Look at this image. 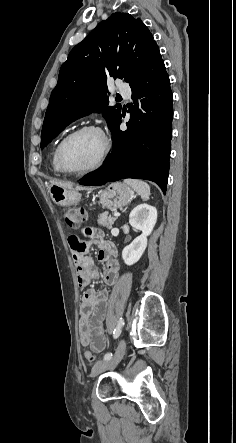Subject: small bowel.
Wrapping results in <instances>:
<instances>
[{
  "instance_id": "obj_1",
  "label": "small bowel",
  "mask_w": 236,
  "mask_h": 443,
  "mask_svg": "<svg viewBox=\"0 0 236 443\" xmlns=\"http://www.w3.org/2000/svg\"><path fill=\"white\" fill-rule=\"evenodd\" d=\"M92 240L98 245V260L105 263L102 274L103 281L108 285H115L119 279L120 264L117 260L115 245L104 239V234L99 229L91 230ZM69 245L73 252L76 266L77 282L80 287H86L92 280L99 276L92 257L86 255L88 245L76 235L69 237ZM109 291L106 289L95 291L88 289L84 292L79 306V337L84 346H91L100 352L105 344L104 320L107 313Z\"/></svg>"
}]
</instances>
